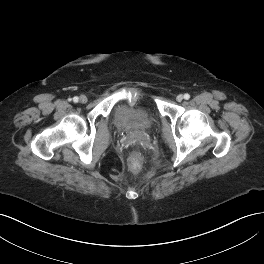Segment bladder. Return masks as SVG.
<instances>
[{
	"label": "bladder",
	"instance_id": "1",
	"mask_svg": "<svg viewBox=\"0 0 264 264\" xmlns=\"http://www.w3.org/2000/svg\"><path fill=\"white\" fill-rule=\"evenodd\" d=\"M114 123L120 130H144L154 123V113L147 105L122 103L114 111Z\"/></svg>",
	"mask_w": 264,
	"mask_h": 264
}]
</instances>
